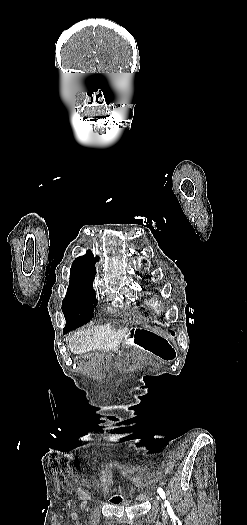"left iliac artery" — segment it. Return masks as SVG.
Instances as JSON below:
<instances>
[{
	"label": "left iliac artery",
	"instance_id": "left-iliac-artery-1",
	"mask_svg": "<svg viewBox=\"0 0 247 525\" xmlns=\"http://www.w3.org/2000/svg\"><path fill=\"white\" fill-rule=\"evenodd\" d=\"M157 491H158L159 495H160L163 499L166 498L165 492H164V490H163L162 488L159 487V488L157 489ZM164 504H165V506L167 507V510H168L169 512H171V511H172V508H171V506H170V503H169L167 500H165Z\"/></svg>",
	"mask_w": 247,
	"mask_h": 525
}]
</instances>
